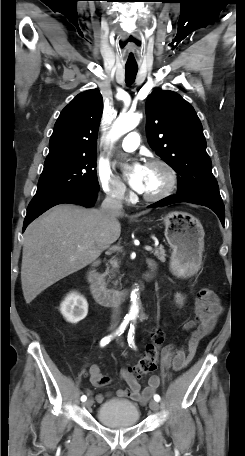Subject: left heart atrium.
<instances>
[{
  "instance_id": "left-heart-atrium-1",
  "label": "left heart atrium",
  "mask_w": 245,
  "mask_h": 456,
  "mask_svg": "<svg viewBox=\"0 0 245 456\" xmlns=\"http://www.w3.org/2000/svg\"><path fill=\"white\" fill-rule=\"evenodd\" d=\"M145 168V166L135 163L130 167L128 172L129 184L138 192H142L144 188Z\"/></svg>"
}]
</instances>
